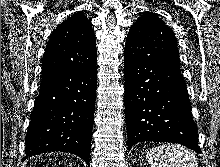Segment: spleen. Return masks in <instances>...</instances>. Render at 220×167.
Instances as JSON below:
<instances>
[{
  "label": "spleen",
  "mask_w": 220,
  "mask_h": 167,
  "mask_svg": "<svg viewBox=\"0 0 220 167\" xmlns=\"http://www.w3.org/2000/svg\"><path fill=\"white\" fill-rule=\"evenodd\" d=\"M146 158L150 167H198L194 154L178 144H165L150 149Z\"/></svg>",
  "instance_id": "1"
}]
</instances>
